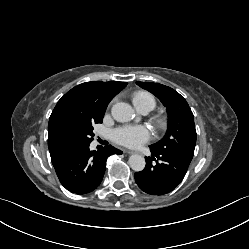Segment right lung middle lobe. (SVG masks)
<instances>
[{"label":"right lung middle lobe","mask_w":249,"mask_h":249,"mask_svg":"<svg viewBox=\"0 0 249 249\" xmlns=\"http://www.w3.org/2000/svg\"><path fill=\"white\" fill-rule=\"evenodd\" d=\"M102 119L103 117L95 123H102ZM93 124L94 123H89L72 131L71 137L75 148L89 145L92 142L94 136Z\"/></svg>","instance_id":"obj_1"}]
</instances>
